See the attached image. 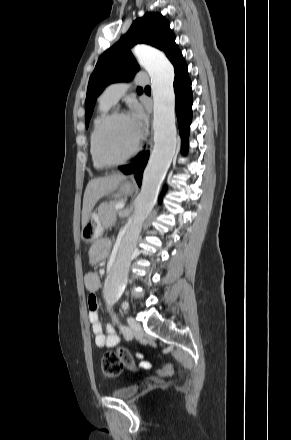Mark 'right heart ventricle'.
Listing matches in <instances>:
<instances>
[{
  "label": "right heart ventricle",
  "mask_w": 291,
  "mask_h": 440,
  "mask_svg": "<svg viewBox=\"0 0 291 440\" xmlns=\"http://www.w3.org/2000/svg\"><path fill=\"white\" fill-rule=\"evenodd\" d=\"M109 109H110L109 106L105 105L104 103H102L99 100L98 113H97V115L95 116V118L93 120V126H92V130H91V133H90V153H91V156H92L93 164L97 168L105 167L106 165L102 164L97 159V157L95 155V146H94L95 132H96V128H97L98 124L107 115V112H108Z\"/></svg>",
  "instance_id": "1"
}]
</instances>
